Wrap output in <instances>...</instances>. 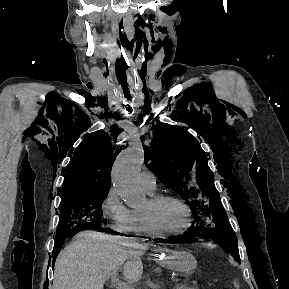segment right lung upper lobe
Listing matches in <instances>:
<instances>
[{"label": "right lung upper lobe", "instance_id": "cb5924a9", "mask_svg": "<svg viewBox=\"0 0 289 289\" xmlns=\"http://www.w3.org/2000/svg\"><path fill=\"white\" fill-rule=\"evenodd\" d=\"M116 156L117 152L115 156L112 154L104 131L89 135L78 146L70 165L63 173V187L58 190L61 196L109 191L112 162Z\"/></svg>", "mask_w": 289, "mask_h": 289}]
</instances>
